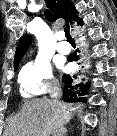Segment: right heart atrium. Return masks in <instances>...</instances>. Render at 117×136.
<instances>
[{
    "mask_svg": "<svg viewBox=\"0 0 117 136\" xmlns=\"http://www.w3.org/2000/svg\"><path fill=\"white\" fill-rule=\"evenodd\" d=\"M18 83L22 95L28 99L55 94L59 87L50 64L41 59L30 61L22 67Z\"/></svg>",
    "mask_w": 117,
    "mask_h": 136,
    "instance_id": "obj_1",
    "label": "right heart atrium"
}]
</instances>
